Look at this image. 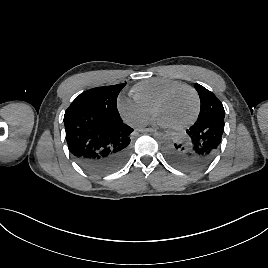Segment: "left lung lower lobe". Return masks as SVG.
Here are the masks:
<instances>
[{"mask_svg": "<svg viewBox=\"0 0 268 268\" xmlns=\"http://www.w3.org/2000/svg\"><path fill=\"white\" fill-rule=\"evenodd\" d=\"M214 123V124H212ZM224 132V118L216 122L202 121L186 130V134L174 144H168L165 154L168 160L184 171H199L207 167L218 154Z\"/></svg>", "mask_w": 268, "mask_h": 268, "instance_id": "1", "label": "left lung lower lobe"}]
</instances>
